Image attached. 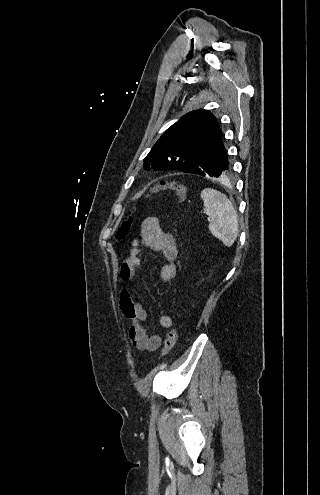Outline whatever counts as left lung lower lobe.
Masks as SVG:
<instances>
[{"mask_svg": "<svg viewBox=\"0 0 320 495\" xmlns=\"http://www.w3.org/2000/svg\"><path fill=\"white\" fill-rule=\"evenodd\" d=\"M183 172L221 178L228 176L232 172V163L228 158L222 138L197 163Z\"/></svg>", "mask_w": 320, "mask_h": 495, "instance_id": "1", "label": "left lung lower lobe"}]
</instances>
